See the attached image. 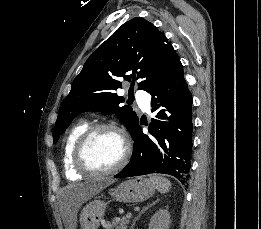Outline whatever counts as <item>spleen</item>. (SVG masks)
<instances>
[{
    "label": "spleen",
    "instance_id": "obj_1",
    "mask_svg": "<svg viewBox=\"0 0 261 229\" xmlns=\"http://www.w3.org/2000/svg\"><path fill=\"white\" fill-rule=\"evenodd\" d=\"M150 179L151 181H153V183H155L157 191H159V193H168V191H170L172 187L170 181H168V179H165V177H158V175H152Z\"/></svg>",
    "mask_w": 261,
    "mask_h": 229
}]
</instances>
